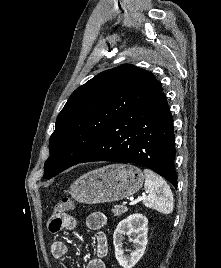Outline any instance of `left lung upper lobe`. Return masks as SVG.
Instances as JSON below:
<instances>
[{
  "instance_id": "obj_1",
  "label": "left lung upper lobe",
  "mask_w": 221,
  "mask_h": 268,
  "mask_svg": "<svg viewBox=\"0 0 221 268\" xmlns=\"http://www.w3.org/2000/svg\"><path fill=\"white\" fill-rule=\"evenodd\" d=\"M160 92L152 73L131 64L101 72L78 87L57 117L44 178L79 163L117 118Z\"/></svg>"
}]
</instances>
